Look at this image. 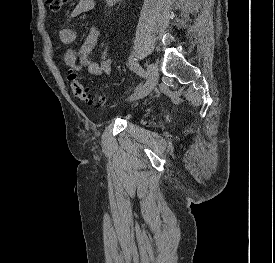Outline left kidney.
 <instances>
[{
	"label": "left kidney",
	"instance_id": "5707ae66",
	"mask_svg": "<svg viewBox=\"0 0 275 263\" xmlns=\"http://www.w3.org/2000/svg\"><path fill=\"white\" fill-rule=\"evenodd\" d=\"M108 6H113L115 5L118 1L121 0H105Z\"/></svg>",
	"mask_w": 275,
	"mask_h": 263
}]
</instances>
